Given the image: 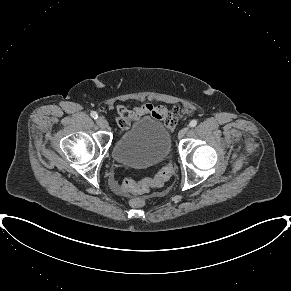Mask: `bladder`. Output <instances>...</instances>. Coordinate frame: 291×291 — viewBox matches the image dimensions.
<instances>
[{"mask_svg": "<svg viewBox=\"0 0 291 291\" xmlns=\"http://www.w3.org/2000/svg\"><path fill=\"white\" fill-rule=\"evenodd\" d=\"M171 153V137L165 126L152 117L134 122L115 141L111 156L119 165L147 168L161 163Z\"/></svg>", "mask_w": 291, "mask_h": 291, "instance_id": "obj_1", "label": "bladder"}]
</instances>
